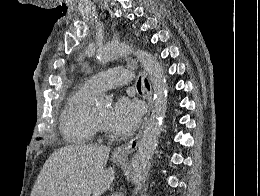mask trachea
<instances>
[{
  "mask_svg": "<svg viewBox=\"0 0 260 196\" xmlns=\"http://www.w3.org/2000/svg\"><path fill=\"white\" fill-rule=\"evenodd\" d=\"M137 88L141 89V78H139L138 82H137Z\"/></svg>",
  "mask_w": 260,
  "mask_h": 196,
  "instance_id": "3493384b",
  "label": "trachea"
}]
</instances>
